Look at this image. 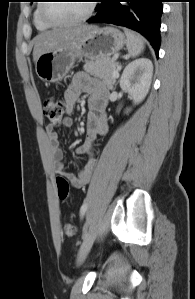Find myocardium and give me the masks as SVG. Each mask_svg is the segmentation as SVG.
<instances>
[{
    "instance_id": "obj_1",
    "label": "myocardium",
    "mask_w": 195,
    "mask_h": 299,
    "mask_svg": "<svg viewBox=\"0 0 195 299\" xmlns=\"http://www.w3.org/2000/svg\"><path fill=\"white\" fill-rule=\"evenodd\" d=\"M49 3H42L40 6V15L41 18L49 25L51 26H56V27H61V26H71V25H75L78 23H82L87 21L88 19H90L92 17V15L94 14L95 10H96V3L94 0H90L89 1V6H88V10L86 11V13L78 18L72 19V20H68V21H57L55 19H53L52 17H50L46 11L47 5Z\"/></svg>"
}]
</instances>
